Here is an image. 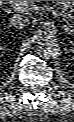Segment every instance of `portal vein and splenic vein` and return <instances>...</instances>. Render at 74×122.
<instances>
[{
  "label": "portal vein and splenic vein",
  "instance_id": "18ae733b",
  "mask_svg": "<svg viewBox=\"0 0 74 122\" xmlns=\"http://www.w3.org/2000/svg\"><path fill=\"white\" fill-rule=\"evenodd\" d=\"M38 8L39 7H35V6L32 7V9H38ZM49 9L52 11L53 14H56L57 13V11L56 10H53L52 7H50Z\"/></svg>",
  "mask_w": 74,
  "mask_h": 122
}]
</instances>
